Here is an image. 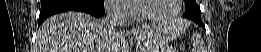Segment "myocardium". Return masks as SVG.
<instances>
[{
    "label": "myocardium",
    "instance_id": "1",
    "mask_svg": "<svg viewBox=\"0 0 261 52\" xmlns=\"http://www.w3.org/2000/svg\"><path fill=\"white\" fill-rule=\"evenodd\" d=\"M141 1H148V0L134 1L133 2L134 13H135L138 21L146 22V23H150V24H166V23L173 22L180 15L181 10H182V3H183L182 0H175L176 9L170 16H168L166 18H154V17L146 16L141 13L140 6H139V3Z\"/></svg>",
    "mask_w": 261,
    "mask_h": 52
}]
</instances>
